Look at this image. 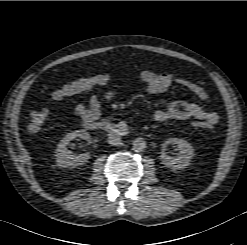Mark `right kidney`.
<instances>
[{"label":"right kidney","mask_w":247,"mask_h":245,"mask_svg":"<svg viewBox=\"0 0 247 245\" xmlns=\"http://www.w3.org/2000/svg\"><path fill=\"white\" fill-rule=\"evenodd\" d=\"M76 138L87 140L90 138V136L85 130H76L68 133L57 145L56 162L59 167H76L85 164L89 160V153L71 155L67 149V146L70 144V142Z\"/></svg>","instance_id":"obj_1"}]
</instances>
